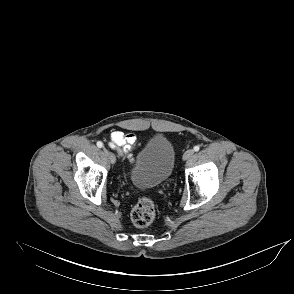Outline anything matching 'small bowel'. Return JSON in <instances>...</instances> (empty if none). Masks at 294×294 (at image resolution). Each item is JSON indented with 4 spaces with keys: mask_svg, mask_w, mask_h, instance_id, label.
Listing matches in <instances>:
<instances>
[{
    "mask_svg": "<svg viewBox=\"0 0 294 294\" xmlns=\"http://www.w3.org/2000/svg\"><path fill=\"white\" fill-rule=\"evenodd\" d=\"M137 145L138 138L134 133H124L122 131H113L111 133L110 146L121 156L131 160L132 151Z\"/></svg>",
    "mask_w": 294,
    "mask_h": 294,
    "instance_id": "c3829d8e",
    "label": "small bowel"
}]
</instances>
